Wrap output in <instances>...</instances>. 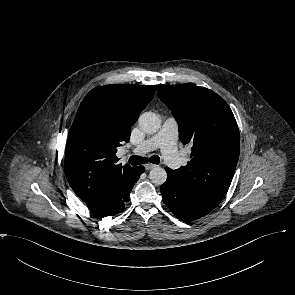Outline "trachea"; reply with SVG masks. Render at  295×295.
I'll return each instance as SVG.
<instances>
[{
	"label": "trachea",
	"mask_w": 295,
	"mask_h": 295,
	"mask_svg": "<svg viewBox=\"0 0 295 295\" xmlns=\"http://www.w3.org/2000/svg\"><path fill=\"white\" fill-rule=\"evenodd\" d=\"M148 161L153 164H159L160 158L157 155L151 156L149 159L146 157H141V156H131L130 159L128 160V162L132 166L141 165V164L147 163Z\"/></svg>",
	"instance_id": "obj_1"
}]
</instances>
